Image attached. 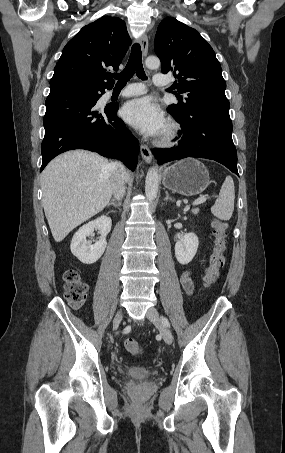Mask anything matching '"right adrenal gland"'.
Segmentation results:
<instances>
[{"label": "right adrenal gland", "instance_id": "1", "mask_svg": "<svg viewBox=\"0 0 285 453\" xmlns=\"http://www.w3.org/2000/svg\"><path fill=\"white\" fill-rule=\"evenodd\" d=\"M109 206H114L116 208H119L121 206V200H118L117 202H115L114 200H112L111 202H109L107 204V207Z\"/></svg>", "mask_w": 285, "mask_h": 453}]
</instances>
